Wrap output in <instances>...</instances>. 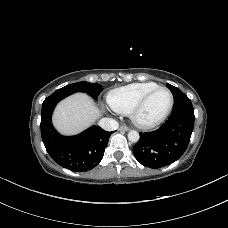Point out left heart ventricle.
<instances>
[{"label": "left heart ventricle", "mask_w": 228, "mask_h": 228, "mask_svg": "<svg viewBox=\"0 0 228 228\" xmlns=\"http://www.w3.org/2000/svg\"><path fill=\"white\" fill-rule=\"evenodd\" d=\"M170 102L169 94L164 90L155 92L139 113V119L144 123L159 119L167 110Z\"/></svg>", "instance_id": "1"}]
</instances>
